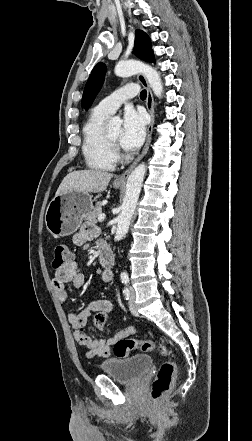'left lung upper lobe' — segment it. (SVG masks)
<instances>
[{
    "label": "left lung upper lobe",
    "instance_id": "obj_1",
    "mask_svg": "<svg viewBox=\"0 0 252 441\" xmlns=\"http://www.w3.org/2000/svg\"><path fill=\"white\" fill-rule=\"evenodd\" d=\"M134 53L142 60L155 62L154 54L151 48V39L145 32L141 30H137L135 33ZM105 72L106 66L103 63H98L93 68L92 73L85 85L82 97L81 106L83 109L87 110L91 106L94 98L100 91L104 81Z\"/></svg>",
    "mask_w": 252,
    "mask_h": 441
}]
</instances>
